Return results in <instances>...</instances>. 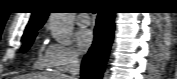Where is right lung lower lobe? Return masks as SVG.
I'll return each mask as SVG.
<instances>
[{"mask_svg":"<svg viewBox=\"0 0 177 79\" xmlns=\"http://www.w3.org/2000/svg\"><path fill=\"white\" fill-rule=\"evenodd\" d=\"M114 13L99 12L94 31V42L84 57L81 67L82 79H101L113 40Z\"/></svg>","mask_w":177,"mask_h":79,"instance_id":"obj_1","label":"right lung lower lobe"}]
</instances>
